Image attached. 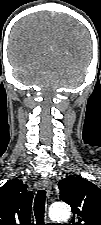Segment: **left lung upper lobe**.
<instances>
[{
	"label": "left lung upper lobe",
	"mask_w": 101,
	"mask_h": 225,
	"mask_svg": "<svg viewBox=\"0 0 101 225\" xmlns=\"http://www.w3.org/2000/svg\"><path fill=\"white\" fill-rule=\"evenodd\" d=\"M60 199L73 211L69 225H101V189L92 182L72 176L58 183Z\"/></svg>",
	"instance_id": "1"
}]
</instances>
